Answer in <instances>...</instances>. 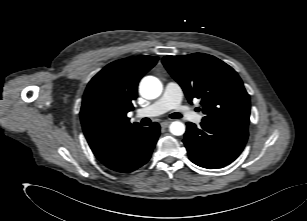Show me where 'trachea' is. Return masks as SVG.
Instances as JSON below:
<instances>
[{
    "mask_svg": "<svg viewBox=\"0 0 307 221\" xmlns=\"http://www.w3.org/2000/svg\"><path fill=\"white\" fill-rule=\"evenodd\" d=\"M170 117L171 118H181L182 117V115L180 114V113H172L171 115H170ZM150 119L149 118H144L143 120H142V125H149L150 124Z\"/></svg>",
    "mask_w": 307,
    "mask_h": 221,
    "instance_id": "trachea-1",
    "label": "trachea"
}]
</instances>
